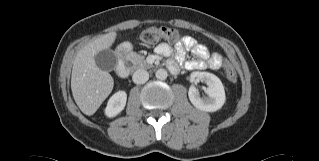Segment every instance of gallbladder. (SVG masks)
Wrapping results in <instances>:
<instances>
[{
    "mask_svg": "<svg viewBox=\"0 0 319 161\" xmlns=\"http://www.w3.org/2000/svg\"><path fill=\"white\" fill-rule=\"evenodd\" d=\"M94 59L97 67L103 71H112L117 65V56L111 49L100 51Z\"/></svg>",
    "mask_w": 319,
    "mask_h": 161,
    "instance_id": "bac80fb5",
    "label": "gallbladder"
}]
</instances>
